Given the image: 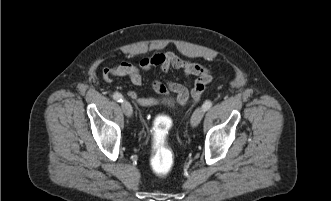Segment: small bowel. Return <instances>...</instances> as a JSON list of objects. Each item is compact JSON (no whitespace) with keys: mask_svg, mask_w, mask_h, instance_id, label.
<instances>
[{"mask_svg":"<svg viewBox=\"0 0 331 201\" xmlns=\"http://www.w3.org/2000/svg\"><path fill=\"white\" fill-rule=\"evenodd\" d=\"M155 67H158L163 73H168L171 70H180L187 78L192 76L199 78L210 75L203 66L187 61L173 52L156 53L140 61V69L144 72L150 71ZM114 77H127L134 86H140L143 83L140 70L127 61H122L114 67L103 71V78L106 81H111ZM152 88L160 95L174 92L182 102L187 101L189 97L188 87L179 83L155 80L152 83ZM129 96L142 105L155 102L154 99L140 98L135 91H130Z\"/></svg>","mask_w":331,"mask_h":201,"instance_id":"c3829d8e","label":"small bowel"}]
</instances>
